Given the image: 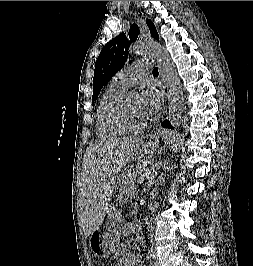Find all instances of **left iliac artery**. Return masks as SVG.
Instances as JSON below:
<instances>
[{"instance_id":"obj_1","label":"left iliac artery","mask_w":253,"mask_h":266,"mask_svg":"<svg viewBox=\"0 0 253 266\" xmlns=\"http://www.w3.org/2000/svg\"><path fill=\"white\" fill-rule=\"evenodd\" d=\"M149 255H150V257H151L152 259H155V258H156V256H155V252H154V250H153L152 247H151L150 250H149Z\"/></svg>"}]
</instances>
